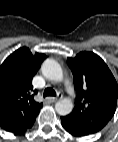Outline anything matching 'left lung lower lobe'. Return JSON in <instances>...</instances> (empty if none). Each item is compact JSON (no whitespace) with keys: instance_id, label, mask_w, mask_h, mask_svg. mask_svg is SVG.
Listing matches in <instances>:
<instances>
[{"instance_id":"1","label":"left lung lower lobe","mask_w":118,"mask_h":142,"mask_svg":"<svg viewBox=\"0 0 118 142\" xmlns=\"http://www.w3.org/2000/svg\"><path fill=\"white\" fill-rule=\"evenodd\" d=\"M61 123L62 126L65 128V130L70 134H72L73 136L81 137L92 134L89 131H87L83 126H81L79 123H77L76 121H74L73 119L67 116L61 117Z\"/></svg>"}]
</instances>
